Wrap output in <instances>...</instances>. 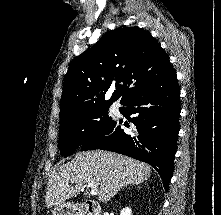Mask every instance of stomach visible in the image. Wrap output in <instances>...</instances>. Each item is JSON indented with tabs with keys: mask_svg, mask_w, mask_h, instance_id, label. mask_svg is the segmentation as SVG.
<instances>
[{
	"mask_svg": "<svg viewBox=\"0 0 221 215\" xmlns=\"http://www.w3.org/2000/svg\"><path fill=\"white\" fill-rule=\"evenodd\" d=\"M75 206L71 203H61L54 207L53 215H76Z\"/></svg>",
	"mask_w": 221,
	"mask_h": 215,
	"instance_id": "stomach-1",
	"label": "stomach"
}]
</instances>
